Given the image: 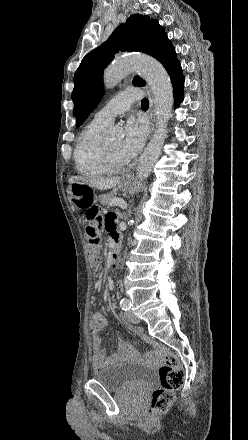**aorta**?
<instances>
[{
	"label": "aorta",
	"instance_id": "1",
	"mask_svg": "<svg viewBox=\"0 0 248 440\" xmlns=\"http://www.w3.org/2000/svg\"><path fill=\"white\" fill-rule=\"evenodd\" d=\"M133 71H138L149 84L155 100L156 130L139 158L137 177L147 179L159 158L167 132V123L173 106V88L168 73L155 59L145 56H127L115 59L104 71V86L113 89ZM106 137L120 136V130L110 127Z\"/></svg>",
	"mask_w": 248,
	"mask_h": 440
}]
</instances>
